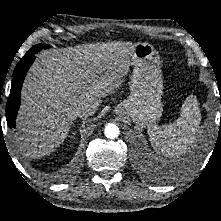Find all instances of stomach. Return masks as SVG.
<instances>
[{
    "mask_svg": "<svg viewBox=\"0 0 221 221\" xmlns=\"http://www.w3.org/2000/svg\"><path fill=\"white\" fill-rule=\"evenodd\" d=\"M131 65V93L117 105L114 112L130 117L138 126H144L162 116L164 87L160 56L151 44L136 43Z\"/></svg>",
    "mask_w": 221,
    "mask_h": 221,
    "instance_id": "obj_1",
    "label": "stomach"
}]
</instances>
